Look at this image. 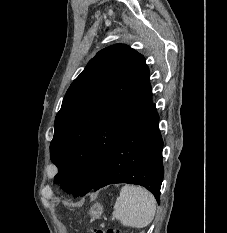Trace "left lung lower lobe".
<instances>
[{
    "instance_id": "left-lung-lower-lobe-1",
    "label": "left lung lower lobe",
    "mask_w": 227,
    "mask_h": 233,
    "mask_svg": "<svg viewBox=\"0 0 227 233\" xmlns=\"http://www.w3.org/2000/svg\"><path fill=\"white\" fill-rule=\"evenodd\" d=\"M158 122L156 107L152 104L114 146L95 191L113 183L138 184L152 192L160 202L164 169L163 140Z\"/></svg>"
}]
</instances>
